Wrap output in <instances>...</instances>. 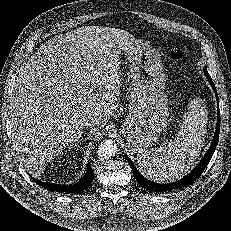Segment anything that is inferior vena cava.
I'll return each instance as SVG.
<instances>
[{"label":"inferior vena cava","mask_w":231,"mask_h":231,"mask_svg":"<svg viewBox=\"0 0 231 231\" xmlns=\"http://www.w3.org/2000/svg\"><path fill=\"white\" fill-rule=\"evenodd\" d=\"M96 122H97L96 118L89 117L87 119H84L83 126H85V127H92V126H94L96 124Z\"/></svg>","instance_id":"obj_1"}]
</instances>
